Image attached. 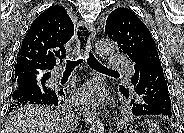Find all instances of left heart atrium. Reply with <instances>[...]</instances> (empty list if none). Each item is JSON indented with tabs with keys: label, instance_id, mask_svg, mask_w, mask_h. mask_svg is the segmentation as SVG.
Instances as JSON below:
<instances>
[{
	"label": "left heart atrium",
	"instance_id": "left-heart-atrium-1",
	"mask_svg": "<svg viewBox=\"0 0 184 133\" xmlns=\"http://www.w3.org/2000/svg\"><path fill=\"white\" fill-rule=\"evenodd\" d=\"M77 99L84 103L98 104L103 99V89L99 83L89 82L80 89Z\"/></svg>",
	"mask_w": 184,
	"mask_h": 133
}]
</instances>
